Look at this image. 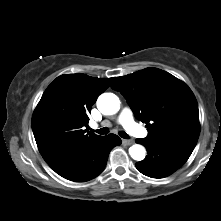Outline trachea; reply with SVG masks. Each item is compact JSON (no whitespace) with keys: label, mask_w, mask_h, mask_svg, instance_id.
Returning <instances> with one entry per match:
<instances>
[{"label":"trachea","mask_w":221,"mask_h":221,"mask_svg":"<svg viewBox=\"0 0 221 221\" xmlns=\"http://www.w3.org/2000/svg\"><path fill=\"white\" fill-rule=\"evenodd\" d=\"M94 132L100 134V135H106L109 133V129L108 128H101V129H98V130H93ZM119 135L124 138V139H128L129 136L127 135V133H125L124 131H120L119 132Z\"/></svg>","instance_id":"obj_1"}]
</instances>
